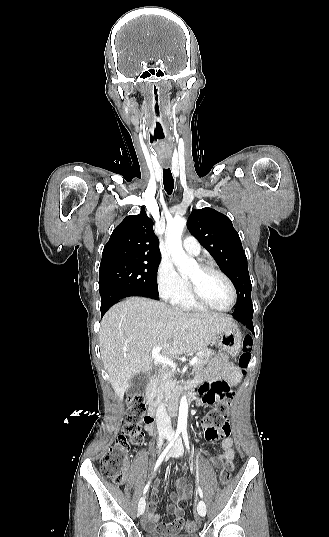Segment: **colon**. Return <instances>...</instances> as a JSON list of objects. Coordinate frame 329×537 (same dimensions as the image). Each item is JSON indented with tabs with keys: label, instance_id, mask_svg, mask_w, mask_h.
Returning a JSON list of instances; mask_svg holds the SVG:
<instances>
[{
	"label": "colon",
	"instance_id": "colon-1",
	"mask_svg": "<svg viewBox=\"0 0 329 537\" xmlns=\"http://www.w3.org/2000/svg\"><path fill=\"white\" fill-rule=\"evenodd\" d=\"M253 342L246 337L243 341L242 352L239 356V367L245 372L251 362ZM219 381V380H216ZM199 391V390H198ZM233 394L216 400V406L211 409L201 420V425L205 430L215 433L216 430H223L227 423V417L232 404ZM127 413L123 419L122 433L116 438L114 443L107 448L101 457L102 476L115 483L122 484L126 477L127 454L131 445L139 446L144 443L145 435L143 431L144 423H151L152 419L147 415V409L143 396L140 393L128 395L126 398ZM234 465L226 463L220 473V484L226 486L232 478ZM184 531L188 535L195 533L199 526L197 520H183Z\"/></svg>",
	"mask_w": 329,
	"mask_h": 537
}]
</instances>
